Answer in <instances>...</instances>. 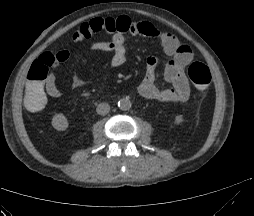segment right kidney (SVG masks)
I'll return each mask as SVG.
<instances>
[{
	"instance_id": "right-kidney-1",
	"label": "right kidney",
	"mask_w": 254,
	"mask_h": 216,
	"mask_svg": "<svg viewBox=\"0 0 254 216\" xmlns=\"http://www.w3.org/2000/svg\"><path fill=\"white\" fill-rule=\"evenodd\" d=\"M67 118L62 114H55L52 118V126L58 131H65L68 128Z\"/></svg>"
}]
</instances>
